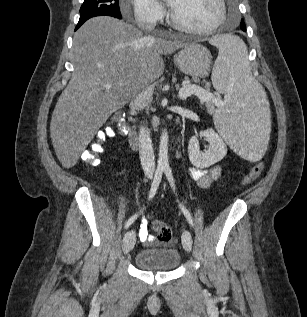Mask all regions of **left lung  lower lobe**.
Masks as SVG:
<instances>
[{
    "label": "left lung lower lobe",
    "instance_id": "1",
    "mask_svg": "<svg viewBox=\"0 0 307 317\" xmlns=\"http://www.w3.org/2000/svg\"><path fill=\"white\" fill-rule=\"evenodd\" d=\"M240 27L243 31H245V24L243 20H241Z\"/></svg>",
    "mask_w": 307,
    "mask_h": 317
}]
</instances>
